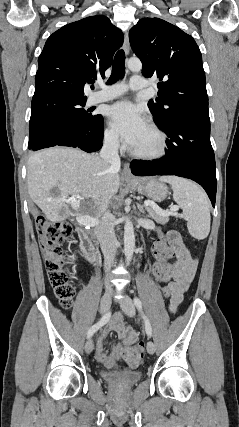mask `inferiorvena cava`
<instances>
[{"mask_svg":"<svg viewBox=\"0 0 239 427\" xmlns=\"http://www.w3.org/2000/svg\"><path fill=\"white\" fill-rule=\"evenodd\" d=\"M119 142L118 136L110 135L105 138L103 147L100 151V157L111 165L113 169H120V157L118 154ZM98 241L100 242L101 250L104 255L105 272L108 275L111 267L114 264L115 253L118 247L114 228L111 223V215L105 212L100 225L95 230ZM106 289H111L109 279L105 280Z\"/></svg>","mask_w":239,"mask_h":427,"instance_id":"602c4592","label":"inferior vena cava"}]
</instances>
